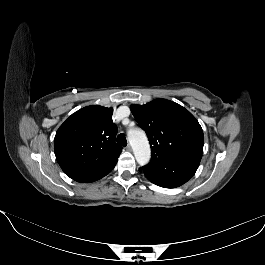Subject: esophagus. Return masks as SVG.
<instances>
[{
    "instance_id": "1",
    "label": "esophagus",
    "mask_w": 265,
    "mask_h": 265,
    "mask_svg": "<svg viewBox=\"0 0 265 265\" xmlns=\"http://www.w3.org/2000/svg\"><path fill=\"white\" fill-rule=\"evenodd\" d=\"M126 150H128V151H132V147H131L130 144H128V145L126 146Z\"/></svg>"
}]
</instances>
